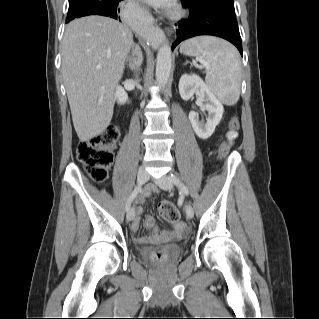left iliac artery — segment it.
<instances>
[{
  "label": "left iliac artery",
  "instance_id": "44dca946",
  "mask_svg": "<svg viewBox=\"0 0 319 319\" xmlns=\"http://www.w3.org/2000/svg\"><path fill=\"white\" fill-rule=\"evenodd\" d=\"M169 179L173 184H175L179 188L182 194L186 196L189 194L188 188L182 183V181L179 179L177 175L171 174L169 175Z\"/></svg>",
  "mask_w": 319,
  "mask_h": 319
}]
</instances>
